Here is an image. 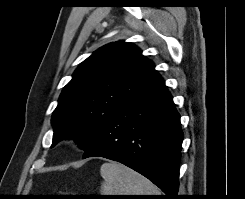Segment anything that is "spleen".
<instances>
[{"label": "spleen", "instance_id": "spleen-1", "mask_svg": "<svg viewBox=\"0 0 245 199\" xmlns=\"http://www.w3.org/2000/svg\"><path fill=\"white\" fill-rule=\"evenodd\" d=\"M104 182L102 195H161L147 178L118 162H106L100 168Z\"/></svg>", "mask_w": 245, "mask_h": 199}]
</instances>
